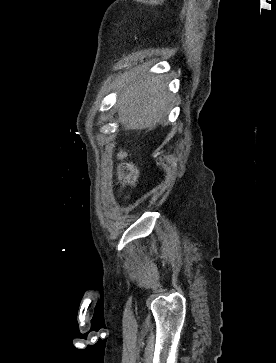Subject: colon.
<instances>
[{"instance_id": "1", "label": "colon", "mask_w": 276, "mask_h": 363, "mask_svg": "<svg viewBox=\"0 0 276 363\" xmlns=\"http://www.w3.org/2000/svg\"><path fill=\"white\" fill-rule=\"evenodd\" d=\"M122 157L126 156V153H121ZM137 178V172L135 168L128 164L124 163L122 164L117 173V179L118 182L122 185H134Z\"/></svg>"}]
</instances>
